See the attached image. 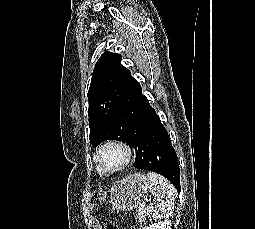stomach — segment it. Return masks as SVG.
Masks as SVG:
<instances>
[{"instance_id":"0dacf381","label":"stomach","mask_w":255,"mask_h":229,"mask_svg":"<svg viewBox=\"0 0 255 229\" xmlns=\"http://www.w3.org/2000/svg\"><path fill=\"white\" fill-rule=\"evenodd\" d=\"M149 188L148 178L136 172L114 183L111 188L110 204L114 210L129 211L137 208Z\"/></svg>"}]
</instances>
